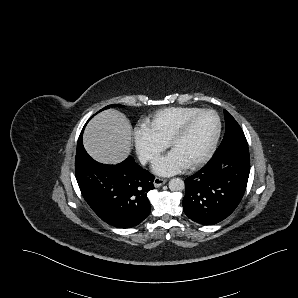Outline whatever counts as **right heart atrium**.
I'll use <instances>...</instances> for the list:
<instances>
[{
	"label": "right heart atrium",
	"mask_w": 298,
	"mask_h": 298,
	"mask_svg": "<svg viewBox=\"0 0 298 298\" xmlns=\"http://www.w3.org/2000/svg\"><path fill=\"white\" fill-rule=\"evenodd\" d=\"M133 139L139 158L143 162L152 160L156 155L166 149V140L152 133L144 127L133 129Z\"/></svg>",
	"instance_id": "obj_1"
}]
</instances>
